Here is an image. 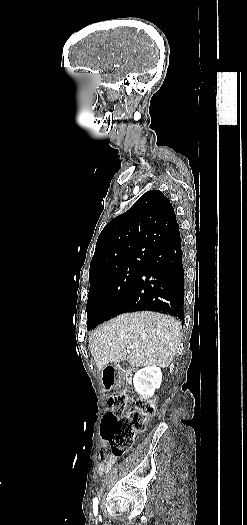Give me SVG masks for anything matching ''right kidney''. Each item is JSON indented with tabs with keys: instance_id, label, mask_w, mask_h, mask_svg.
I'll use <instances>...</instances> for the list:
<instances>
[{
	"instance_id": "right-kidney-1",
	"label": "right kidney",
	"mask_w": 247,
	"mask_h": 525,
	"mask_svg": "<svg viewBox=\"0 0 247 525\" xmlns=\"http://www.w3.org/2000/svg\"><path fill=\"white\" fill-rule=\"evenodd\" d=\"M162 383V371L159 367H144L139 369L133 377V385L142 399L153 397L156 389H160Z\"/></svg>"
}]
</instances>
